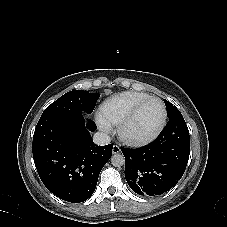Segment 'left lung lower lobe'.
I'll return each instance as SVG.
<instances>
[{
    "label": "left lung lower lobe",
    "mask_w": 227,
    "mask_h": 227,
    "mask_svg": "<svg viewBox=\"0 0 227 227\" xmlns=\"http://www.w3.org/2000/svg\"><path fill=\"white\" fill-rule=\"evenodd\" d=\"M125 178L141 196H156L169 191L183 176L190 154L189 130L180 112L150 144L124 148Z\"/></svg>",
    "instance_id": "1"
}]
</instances>
